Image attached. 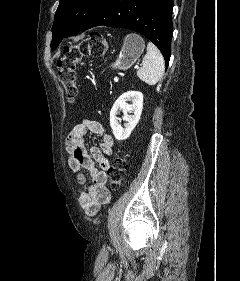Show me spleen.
I'll list each match as a JSON object with an SVG mask.
<instances>
[{"label":"spleen","instance_id":"1","mask_svg":"<svg viewBox=\"0 0 240 281\" xmlns=\"http://www.w3.org/2000/svg\"><path fill=\"white\" fill-rule=\"evenodd\" d=\"M165 69L164 58L159 49L149 42L147 53L143 58L142 67L137 71V76L146 84L153 86L162 77Z\"/></svg>","mask_w":240,"mask_h":281}]
</instances>
